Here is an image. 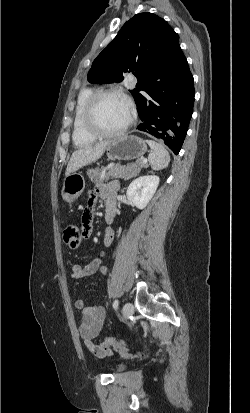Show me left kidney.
<instances>
[{"label":"left kidney","mask_w":250,"mask_h":413,"mask_svg":"<svg viewBox=\"0 0 250 413\" xmlns=\"http://www.w3.org/2000/svg\"><path fill=\"white\" fill-rule=\"evenodd\" d=\"M158 185L159 177L154 174L138 177L128 186L127 198L138 209H144L155 194Z\"/></svg>","instance_id":"left-kidney-1"}]
</instances>
